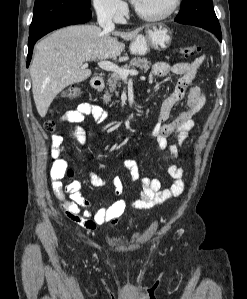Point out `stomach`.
Returning <instances> with one entry per match:
<instances>
[{
    "label": "stomach",
    "mask_w": 247,
    "mask_h": 299,
    "mask_svg": "<svg viewBox=\"0 0 247 299\" xmlns=\"http://www.w3.org/2000/svg\"><path fill=\"white\" fill-rule=\"evenodd\" d=\"M172 42L171 30L164 24L148 25L146 35H139L130 45V52L133 55L144 56L151 49L165 50Z\"/></svg>",
    "instance_id": "obj_1"
}]
</instances>
